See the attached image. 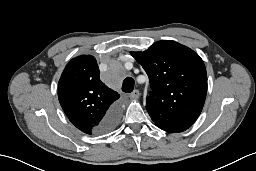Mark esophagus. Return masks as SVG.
<instances>
[{
  "instance_id": "1",
  "label": "esophagus",
  "mask_w": 256,
  "mask_h": 171,
  "mask_svg": "<svg viewBox=\"0 0 256 171\" xmlns=\"http://www.w3.org/2000/svg\"><path fill=\"white\" fill-rule=\"evenodd\" d=\"M139 96H140L139 90H134V91L129 95V97H130L131 99H133V100L138 99Z\"/></svg>"
}]
</instances>
